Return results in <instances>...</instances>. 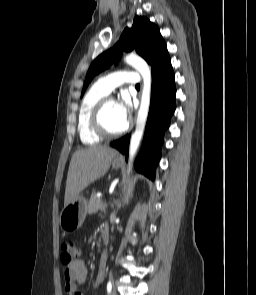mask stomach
I'll return each instance as SVG.
<instances>
[{"instance_id":"obj_1","label":"stomach","mask_w":256,"mask_h":295,"mask_svg":"<svg viewBox=\"0 0 256 295\" xmlns=\"http://www.w3.org/2000/svg\"><path fill=\"white\" fill-rule=\"evenodd\" d=\"M122 161L119 157H114L112 160V166L119 168ZM88 204L84 197L78 195L72 202L64 206L60 213L59 222L63 230L67 232H73L78 230L87 215Z\"/></svg>"}]
</instances>
